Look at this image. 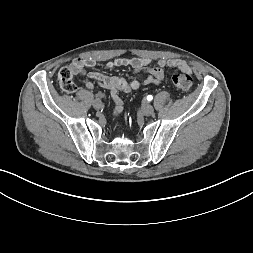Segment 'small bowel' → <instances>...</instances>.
Segmentation results:
<instances>
[{
  "label": "small bowel",
  "mask_w": 253,
  "mask_h": 253,
  "mask_svg": "<svg viewBox=\"0 0 253 253\" xmlns=\"http://www.w3.org/2000/svg\"><path fill=\"white\" fill-rule=\"evenodd\" d=\"M150 60L143 58H116L106 63L108 70H113L118 67H129L134 73L145 71L147 77L144 80H127L117 76H107L99 72L87 71L86 68H91L96 65V60L93 58H77L71 63V67L76 70V73L87 78L85 85L87 88H93V82H97L100 86L109 90L112 100L115 104L113 114L119 115L123 111V101L120 98V92L129 93L146 85H158L164 79V68H177L181 71H188L189 65L181 59L170 58L160 59L155 67H149ZM104 68V65H101Z\"/></svg>",
  "instance_id": "1"
}]
</instances>
